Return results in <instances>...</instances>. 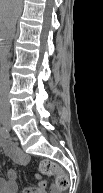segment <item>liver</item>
I'll list each match as a JSON object with an SVG mask.
<instances>
[{
	"mask_svg": "<svg viewBox=\"0 0 103 193\" xmlns=\"http://www.w3.org/2000/svg\"><path fill=\"white\" fill-rule=\"evenodd\" d=\"M18 9H21L20 0H0V21L3 30L14 23Z\"/></svg>",
	"mask_w": 103,
	"mask_h": 193,
	"instance_id": "6515ba94",
	"label": "liver"
}]
</instances>
